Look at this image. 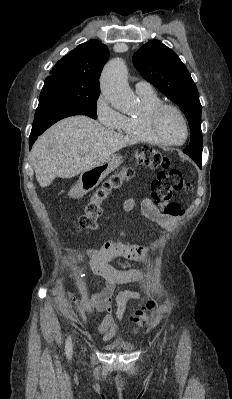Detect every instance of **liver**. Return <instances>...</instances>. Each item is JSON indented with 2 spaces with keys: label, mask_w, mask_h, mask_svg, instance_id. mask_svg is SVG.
<instances>
[{
  "label": "liver",
  "mask_w": 232,
  "mask_h": 399,
  "mask_svg": "<svg viewBox=\"0 0 232 399\" xmlns=\"http://www.w3.org/2000/svg\"><path fill=\"white\" fill-rule=\"evenodd\" d=\"M132 144L134 140L107 130L86 116L65 118L42 134L31 150L36 180L41 188H46L57 176L74 178ZM81 148L89 150L82 154Z\"/></svg>",
  "instance_id": "obj_1"
}]
</instances>
